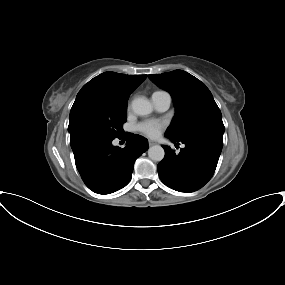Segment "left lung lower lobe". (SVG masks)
<instances>
[{"instance_id": "obj_1", "label": "left lung lower lobe", "mask_w": 285, "mask_h": 285, "mask_svg": "<svg viewBox=\"0 0 285 285\" xmlns=\"http://www.w3.org/2000/svg\"><path fill=\"white\" fill-rule=\"evenodd\" d=\"M168 138L173 143L179 142ZM181 142L186 147L178 155L169 146H163L165 157L158 164V173L166 186L180 192H193L202 188L214 174L223 140L200 136Z\"/></svg>"}]
</instances>
